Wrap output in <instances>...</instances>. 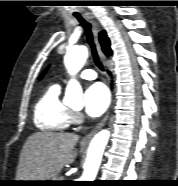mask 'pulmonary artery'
I'll list each match as a JSON object with an SVG mask.
<instances>
[{"label": "pulmonary artery", "instance_id": "pulmonary-artery-1", "mask_svg": "<svg viewBox=\"0 0 178 186\" xmlns=\"http://www.w3.org/2000/svg\"><path fill=\"white\" fill-rule=\"evenodd\" d=\"M79 77L86 80H94L97 77V74L92 69H85L80 74Z\"/></svg>", "mask_w": 178, "mask_h": 186}]
</instances>
